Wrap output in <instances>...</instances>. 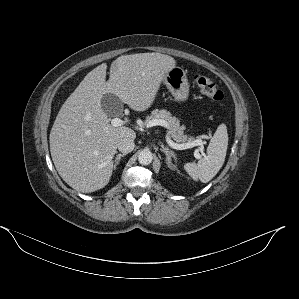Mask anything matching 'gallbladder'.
Here are the masks:
<instances>
[{"label": "gallbladder", "mask_w": 299, "mask_h": 299, "mask_svg": "<svg viewBox=\"0 0 299 299\" xmlns=\"http://www.w3.org/2000/svg\"><path fill=\"white\" fill-rule=\"evenodd\" d=\"M101 106L108 116H119L123 113L122 101L116 95L111 93L103 95Z\"/></svg>", "instance_id": "obj_1"}]
</instances>
